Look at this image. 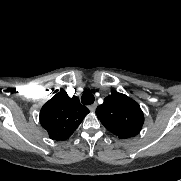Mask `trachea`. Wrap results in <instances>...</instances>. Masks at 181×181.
<instances>
[{
    "label": "trachea",
    "instance_id": "trachea-1",
    "mask_svg": "<svg viewBox=\"0 0 181 181\" xmlns=\"http://www.w3.org/2000/svg\"><path fill=\"white\" fill-rule=\"evenodd\" d=\"M94 100V95L90 92H85L81 97V102L84 105L93 104Z\"/></svg>",
    "mask_w": 181,
    "mask_h": 181
}]
</instances>
